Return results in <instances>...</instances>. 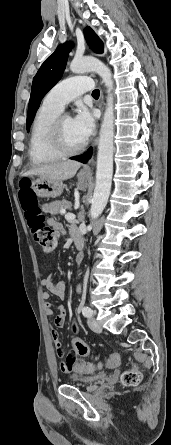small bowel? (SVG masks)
<instances>
[{"label":"small bowel","instance_id":"1","mask_svg":"<svg viewBox=\"0 0 171 445\" xmlns=\"http://www.w3.org/2000/svg\"><path fill=\"white\" fill-rule=\"evenodd\" d=\"M44 211L48 213H53L58 209L57 203H46L43 206ZM48 223L50 226H52L56 230H62V225L56 221L54 218H49ZM72 235H80L79 231L76 228L71 229ZM41 285L47 290L43 293V298L45 300L44 306H45V312L48 316H52L54 314V311H57V315L54 318L53 325L51 327V338L53 340L56 352L59 357L62 358L60 367L61 370L65 373L71 372L75 366H76V358L75 355L77 354L75 349L73 348V351L65 354L62 343L60 341V336L57 331V328H60L64 325L65 318H66V309L64 306H54L49 301V294H52L54 296H57L59 298H64L66 295V284L63 281H54V278L52 275H49L48 277L44 278L41 281ZM71 331L72 333L76 334L78 333V325L75 321L72 322L71 325ZM117 358V361L114 364H110L112 368H116L119 364V355L114 354Z\"/></svg>","mask_w":171,"mask_h":445}]
</instances>
